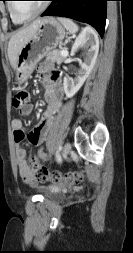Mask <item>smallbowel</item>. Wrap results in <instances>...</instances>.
I'll use <instances>...</instances> for the list:
<instances>
[{
    "mask_svg": "<svg viewBox=\"0 0 133 253\" xmlns=\"http://www.w3.org/2000/svg\"><path fill=\"white\" fill-rule=\"evenodd\" d=\"M45 88L44 98L47 103L40 122L28 134V141L34 146L41 145L45 140L52 124L53 117L60 111L63 105V89L59 72L55 71L48 63L40 64L37 68ZM33 111V105L27 104L19 110L21 116H29ZM11 127L14 135L15 154L18 170L21 178L27 184H35L37 179L33 172L32 166L26 159V150L22 147L21 142L25 137L23 123L21 119L15 118L11 121ZM38 157L44 161L51 160V155L47 154L43 148L38 151Z\"/></svg>",
    "mask_w": 133,
    "mask_h": 253,
    "instance_id": "small-bowel-1",
    "label": "small bowel"
}]
</instances>
